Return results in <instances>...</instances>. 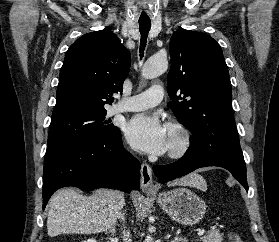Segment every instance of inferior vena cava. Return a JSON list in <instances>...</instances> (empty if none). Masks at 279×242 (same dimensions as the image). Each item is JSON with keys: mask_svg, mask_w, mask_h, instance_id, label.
Listing matches in <instances>:
<instances>
[{"mask_svg": "<svg viewBox=\"0 0 279 242\" xmlns=\"http://www.w3.org/2000/svg\"><path fill=\"white\" fill-rule=\"evenodd\" d=\"M120 216V215H119ZM122 220H124V217L122 216ZM130 237V233L129 231H125L123 232V239H124V242H131V240L129 239Z\"/></svg>", "mask_w": 279, "mask_h": 242, "instance_id": "1", "label": "inferior vena cava"}]
</instances>
